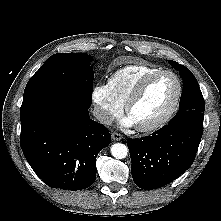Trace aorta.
<instances>
[{
    "label": "aorta",
    "instance_id": "1",
    "mask_svg": "<svg viewBox=\"0 0 221 221\" xmlns=\"http://www.w3.org/2000/svg\"><path fill=\"white\" fill-rule=\"evenodd\" d=\"M111 154L116 159H123L128 154V148L122 143H115L111 147Z\"/></svg>",
    "mask_w": 221,
    "mask_h": 221
}]
</instances>
